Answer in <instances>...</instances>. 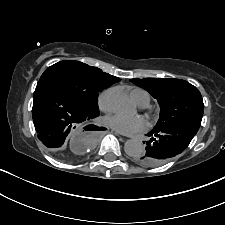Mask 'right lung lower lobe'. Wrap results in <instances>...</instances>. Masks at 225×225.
<instances>
[{
  "label": "right lung lower lobe",
  "instance_id": "98d812e1",
  "mask_svg": "<svg viewBox=\"0 0 225 225\" xmlns=\"http://www.w3.org/2000/svg\"><path fill=\"white\" fill-rule=\"evenodd\" d=\"M97 116L54 85L38 82L33 96L32 117L38 138L47 148L62 147L70 132Z\"/></svg>",
  "mask_w": 225,
  "mask_h": 225
}]
</instances>
